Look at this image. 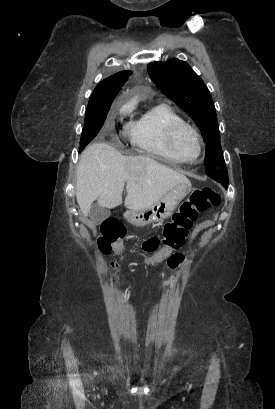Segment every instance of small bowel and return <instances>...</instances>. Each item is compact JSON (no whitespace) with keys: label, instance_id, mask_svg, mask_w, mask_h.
<instances>
[{"label":"small bowel","instance_id":"small-bowel-1","mask_svg":"<svg viewBox=\"0 0 275 409\" xmlns=\"http://www.w3.org/2000/svg\"><path fill=\"white\" fill-rule=\"evenodd\" d=\"M185 258H186V255L185 254H180V255H176V256H169L168 257V262H169V264H168V269L169 270H175L176 269V267H180V266H182L183 264H184V262H185ZM187 261L188 262H191L192 261V258L191 257H188L187 258ZM116 273L117 274H113L112 275V278H113V282L114 283H117L118 282V280H120L123 276L120 274L121 273V270L120 269H117L116 270Z\"/></svg>","mask_w":275,"mask_h":409}]
</instances>
